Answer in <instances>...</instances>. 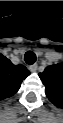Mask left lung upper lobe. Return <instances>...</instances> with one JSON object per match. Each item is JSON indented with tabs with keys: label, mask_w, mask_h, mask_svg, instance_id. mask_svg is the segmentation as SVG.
Returning <instances> with one entry per match:
<instances>
[{
	"label": "left lung upper lobe",
	"mask_w": 63,
	"mask_h": 123,
	"mask_svg": "<svg viewBox=\"0 0 63 123\" xmlns=\"http://www.w3.org/2000/svg\"><path fill=\"white\" fill-rule=\"evenodd\" d=\"M45 85V93L48 99L57 107L63 105V64L48 66L39 74Z\"/></svg>",
	"instance_id": "1"
}]
</instances>
